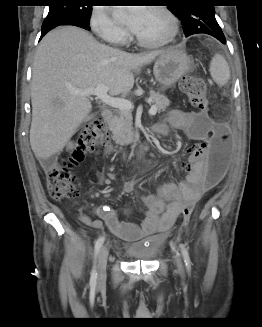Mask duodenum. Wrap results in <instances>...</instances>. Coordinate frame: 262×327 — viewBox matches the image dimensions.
<instances>
[{
	"mask_svg": "<svg viewBox=\"0 0 262 327\" xmlns=\"http://www.w3.org/2000/svg\"><path fill=\"white\" fill-rule=\"evenodd\" d=\"M102 118L107 126H111L113 120L112 111L108 109L103 110ZM152 132H155L154 128L152 129ZM114 150L115 149L111 145L107 147V152L109 153L113 152ZM146 150H147V144L143 143L135 146L133 149L123 151V154L125 157L133 156L135 158H140L143 152H145Z\"/></svg>",
	"mask_w": 262,
	"mask_h": 327,
	"instance_id": "1",
	"label": "duodenum"
}]
</instances>
